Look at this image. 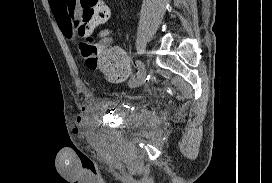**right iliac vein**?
Instances as JSON below:
<instances>
[{
    "label": "right iliac vein",
    "instance_id": "right-iliac-vein-1",
    "mask_svg": "<svg viewBox=\"0 0 272 183\" xmlns=\"http://www.w3.org/2000/svg\"><path fill=\"white\" fill-rule=\"evenodd\" d=\"M140 70L143 71V74L141 75L140 78L137 79V81H130V82H129V86H130L131 88L140 86V85L143 83L144 78H145V74H146L145 66H143L142 68H140Z\"/></svg>",
    "mask_w": 272,
    "mask_h": 183
}]
</instances>
